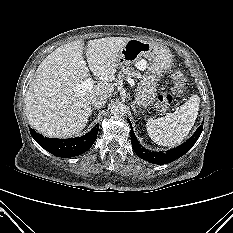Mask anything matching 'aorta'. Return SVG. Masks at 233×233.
Returning <instances> with one entry per match:
<instances>
[{
    "mask_svg": "<svg viewBox=\"0 0 233 233\" xmlns=\"http://www.w3.org/2000/svg\"><path fill=\"white\" fill-rule=\"evenodd\" d=\"M111 113L115 116H124L127 113V106L121 102L115 103L111 107Z\"/></svg>",
    "mask_w": 233,
    "mask_h": 233,
    "instance_id": "762f6f07",
    "label": "aorta"
}]
</instances>
